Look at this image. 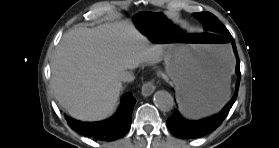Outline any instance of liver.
<instances>
[{"instance_id":"liver-1","label":"liver","mask_w":279,"mask_h":148,"mask_svg":"<svg viewBox=\"0 0 279 148\" xmlns=\"http://www.w3.org/2000/svg\"><path fill=\"white\" fill-rule=\"evenodd\" d=\"M152 44L129 20L78 27L63 35L51 62V87L59 104L83 121L107 118L122 88L119 75L161 60Z\"/></svg>"}]
</instances>
